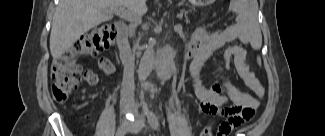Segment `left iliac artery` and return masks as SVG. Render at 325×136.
<instances>
[{
    "mask_svg": "<svg viewBox=\"0 0 325 136\" xmlns=\"http://www.w3.org/2000/svg\"><path fill=\"white\" fill-rule=\"evenodd\" d=\"M148 122L152 128L158 129L159 126L158 118L153 112H150L148 114Z\"/></svg>",
    "mask_w": 325,
    "mask_h": 136,
    "instance_id": "obj_1",
    "label": "left iliac artery"
}]
</instances>
